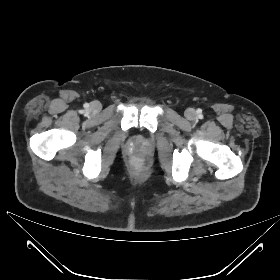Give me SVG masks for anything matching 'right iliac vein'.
I'll list each match as a JSON object with an SVG mask.
<instances>
[{
    "label": "right iliac vein",
    "instance_id": "63e3f726",
    "mask_svg": "<svg viewBox=\"0 0 280 280\" xmlns=\"http://www.w3.org/2000/svg\"><path fill=\"white\" fill-rule=\"evenodd\" d=\"M90 109L92 112H99L101 110V104L98 101H95L91 104Z\"/></svg>",
    "mask_w": 280,
    "mask_h": 280
}]
</instances>
